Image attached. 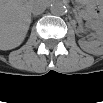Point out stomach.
<instances>
[{
    "mask_svg": "<svg viewBox=\"0 0 103 103\" xmlns=\"http://www.w3.org/2000/svg\"><path fill=\"white\" fill-rule=\"evenodd\" d=\"M83 4H85L87 6L88 9L91 8V6H93V3L90 1H82Z\"/></svg>",
    "mask_w": 103,
    "mask_h": 103,
    "instance_id": "obj_1",
    "label": "stomach"
}]
</instances>
